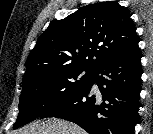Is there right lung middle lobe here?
I'll use <instances>...</instances> for the list:
<instances>
[{
  "label": "right lung middle lobe",
  "mask_w": 153,
  "mask_h": 134,
  "mask_svg": "<svg viewBox=\"0 0 153 134\" xmlns=\"http://www.w3.org/2000/svg\"><path fill=\"white\" fill-rule=\"evenodd\" d=\"M93 70L68 66L51 69L22 81L19 114L14 129L40 117L83 88Z\"/></svg>",
  "instance_id": "obj_1"
}]
</instances>
